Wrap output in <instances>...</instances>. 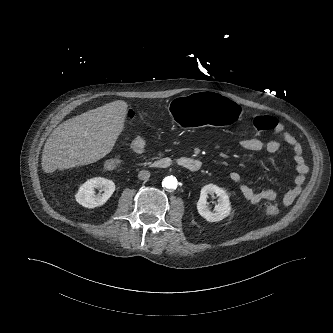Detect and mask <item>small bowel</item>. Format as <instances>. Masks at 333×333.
I'll list each match as a JSON object with an SVG mask.
<instances>
[{"label": "small bowel", "mask_w": 333, "mask_h": 333, "mask_svg": "<svg viewBox=\"0 0 333 333\" xmlns=\"http://www.w3.org/2000/svg\"><path fill=\"white\" fill-rule=\"evenodd\" d=\"M274 121V132L278 134L293 151V160L297 172L294 180V186L287 189L281 196L282 203L285 206H289L293 203L301 190V186L304 183L305 175L307 173V166L303 159V148L300 142L294 135L287 131L283 123L278 122L275 119ZM237 145L250 152L276 153L281 147V142L279 140L263 141L256 137H245L240 138L237 141ZM145 146V139L137 137L129 142L128 149L132 153L140 154L143 152ZM229 179L233 183H240L241 175L237 171H232L229 174ZM239 190L242 196L251 204H258L262 201H274L279 197V194L273 190L254 189L247 184H240Z\"/></svg>", "instance_id": "1"}]
</instances>
